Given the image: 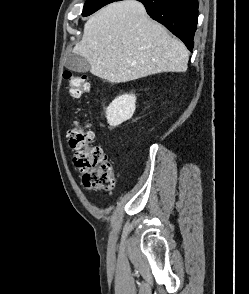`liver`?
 <instances>
[{
  "label": "liver",
  "instance_id": "obj_1",
  "mask_svg": "<svg viewBox=\"0 0 249 294\" xmlns=\"http://www.w3.org/2000/svg\"><path fill=\"white\" fill-rule=\"evenodd\" d=\"M73 53L88 60L93 75L111 83L185 72L189 60L185 45L136 0L111 3L90 17Z\"/></svg>",
  "mask_w": 249,
  "mask_h": 294
}]
</instances>
